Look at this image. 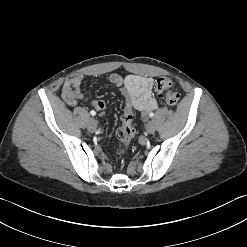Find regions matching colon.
<instances>
[{
    "instance_id": "1",
    "label": "colon",
    "mask_w": 247,
    "mask_h": 247,
    "mask_svg": "<svg viewBox=\"0 0 247 247\" xmlns=\"http://www.w3.org/2000/svg\"><path fill=\"white\" fill-rule=\"evenodd\" d=\"M108 81L114 89H118L121 95H124V111L121 117L122 125L117 130V137L123 145L121 154L126 152L127 146L136 134V129L133 126V108L131 107V94L129 92V86L123 83L122 78L116 72H111L108 75ZM156 89L162 94L164 101L170 105L175 106L180 100L178 92L172 88V82L167 77H160L156 81Z\"/></svg>"
}]
</instances>
